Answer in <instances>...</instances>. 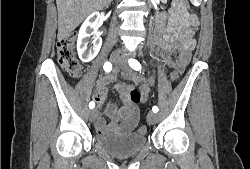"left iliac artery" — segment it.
I'll use <instances>...</instances> for the list:
<instances>
[{
	"mask_svg": "<svg viewBox=\"0 0 250 169\" xmlns=\"http://www.w3.org/2000/svg\"><path fill=\"white\" fill-rule=\"evenodd\" d=\"M129 65L132 69L136 70V71H139L141 70V64L136 60V59H129ZM158 107L157 106H153L152 108V111L154 113H157L158 112Z\"/></svg>",
	"mask_w": 250,
	"mask_h": 169,
	"instance_id": "obj_1",
	"label": "left iliac artery"
}]
</instances>
